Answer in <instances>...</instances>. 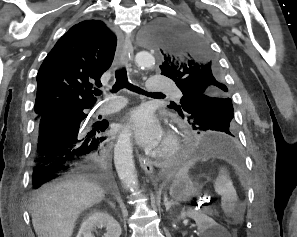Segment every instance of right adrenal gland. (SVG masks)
<instances>
[{
  "instance_id": "1",
  "label": "right adrenal gland",
  "mask_w": 297,
  "mask_h": 237,
  "mask_svg": "<svg viewBox=\"0 0 297 237\" xmlns=\"http://www.w3.org/2000/svg\"><path fill=\"white\" fill-rule=\"evenodd\" d=\"M108 203H109V205H110L112 208L115 209V204H114V203H112L111 201H108Z\"/></svg>"
}]
</instances>
